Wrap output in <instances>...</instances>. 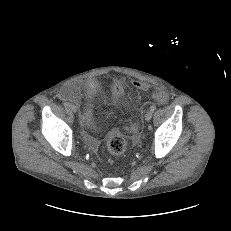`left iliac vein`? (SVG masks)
Returning a JSON list of instances; mask_svg holds the SVG:
<instances>
[{
    "label": "left iliac vein",
    "mask_w": 231,
    "mask_h": 231,
    "mask_svg": "<svg viewBox=\"0 0 231 231\" xmlns=\"http://www.w3.org/2000/svg\"><path fill=\"white\" fill-rule=\"evenodd\" d=\"M152 111L151 110H148L147 112H146V114H145V120L147 121V122H149L150 120H151V118H152Z\"/></svg>",
    "instance_id": "1"
}]
</instances>
